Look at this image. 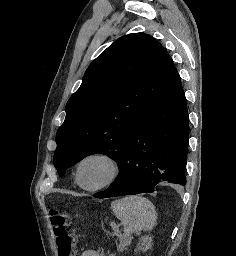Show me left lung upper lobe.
<instances>
[{
  "mask_svg": "<svg viewBox=\"0 0 236 256\" xmlns=\"http://www.w3.org/2000/svg\"><path fill=\"white\" fill-rule=\"evenodd\" d=\"M180 84L168 52L150 35L116 40L90 64L66 104L53 157L59 176L93 153L120 164L137 122Z\"/></svg>",
  "mask_w": 236,
  "mask_h": 256,
  "instance_id": "1",
  "label": "left lung upper lobe"
}]
</instances>
